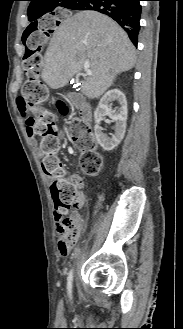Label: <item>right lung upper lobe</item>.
<instances>
[{
  "instance_id": "right-lung-upper-lobe-1",
  "label": "right lung upper lobe",
  "mask_w": 183,
  "mask_h": 329,
  "mask_svg": "<svg viewBox=\"0 0 183 329\" xmlns=\"http://www.w3.org/2000/svg\"><path fill=\"white\" fill-rule=\"evenodd\" d=\"M31 1L28 8V18L30 21H35L42 15L46 13H53L56 7L67 8L69 2L72 0H29ZM55 5L54 9H49L51 6ZM36 23V22H32Z\"/></svg>"
}]
</instances>
